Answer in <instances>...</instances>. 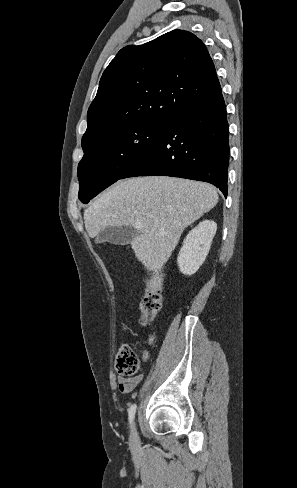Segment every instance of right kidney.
<instances>
[{
    "instance_id": "ca27d5eb",
    "label": "right kidney",
    "mask_w": 297,
    "mask_h": 488,
    "mask_svg": "<svg viewBox=\"0 0 297 488\" xmlns=\"http://www.w3.org/2000/svg\"><path fill=\"white\" fill-rule=\"evenodd\" d=\"M216 230V222L204 220L187 234L177 257L181 273L192 275L199 269L210 250Z\"/></svg>"
}]
</instances>
